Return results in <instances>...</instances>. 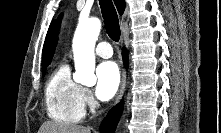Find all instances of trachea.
Returning <instances> with one entry per match:
<instances>
[{"instance_id":"obj_1","label":"trachea","mask_w":221,"mask_h":133,"mask_svg":"<svg viewBox=\"0 0 221 133\" xmlns=\"http://www.w3.org/2000/svg\"><path fill=\"white\" fill-rule=\"evenodd\" d=\"M101 12L104 19L105 29L108 36L115 42L120 39V26L116 9L112 0H99Z\"/></svg>"}]
</instances>
